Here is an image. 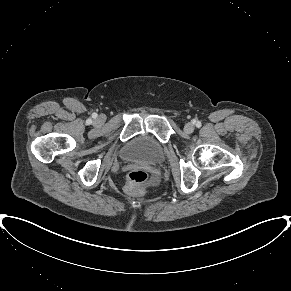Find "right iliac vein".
<instances>
[{"mask_svg":"<svg viewBox=\"0 0 291 291\" xmlns=\"http://www.w3.org/2000/svg\"><path fill=\"white\" fill-rule=\"evenodd\" d=\"M97 122H98V123H101V122H102V118H98V119H97Z\"/></svg>","mask_w":291,"mask_h":291,"instance_id":"obj_1","label":"right iliac vein"}]
</instances>
